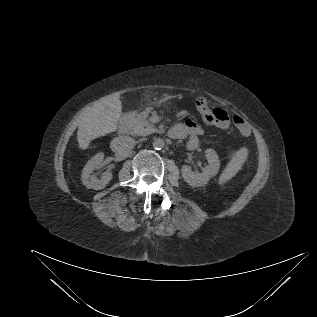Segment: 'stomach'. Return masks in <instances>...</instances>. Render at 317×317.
<instances>
[{
	"mask_svg": "<svg viewBox=\"0 0 317 317\" xmlns=\"http://www.w3.org/2000/svg\"><path fill=\"white\" fill-rule=\"evenodd\" d=\"M150 96H151L150 94L147 95L148 98H149Z\"/></svg>",
	"mask_w": 317,
	"mask_h": 317,
	"instance_id": "stomach-1",
	"label": "stomach"
}]
</instances>
